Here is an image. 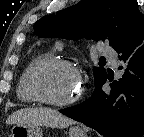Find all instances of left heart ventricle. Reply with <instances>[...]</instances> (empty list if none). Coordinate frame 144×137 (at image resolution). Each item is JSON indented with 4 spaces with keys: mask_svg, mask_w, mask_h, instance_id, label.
<instances>
[{
    "mask_svg": "<svg viewBox=\"0 0 144 137\" xmlns=\"http://www.w3.org/2000/svg\"><path fill=\"white\" fill-rule=\"evenodd\" d=\"M80 81L76 73L65 67L44 70L38 77V87L49 99L65 101L76 95Z\"/></svg>",
    "mask_w": 144,
    "mask_h": 137,
    "instance_id": "b2bd125f",
    "label": "left heart ventricle"
}]
</instances>
